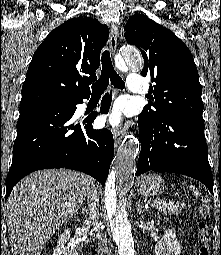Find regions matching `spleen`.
<instances>
[{
	"instance_id": "3e777b00",
	"label": "spleen",
	"mask_w": 221,
	"mask_h": 255,
	"mask_svg": "<svg viewBox=\"0 0 221 255\" xmlns=\"http://www.w3.org/2000/svg\"><path fill=\"white\" fill-rule=\"evenodd\" d=\"M190 188L192 189V191L194 192V194H195L196 196L199 195V192H198L197 190H195V187L190 186Z\"/></svg>"
}]
</instances>
